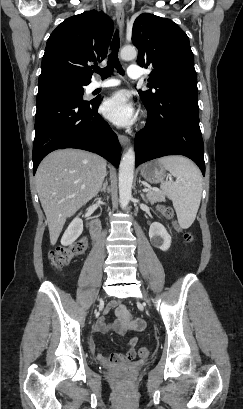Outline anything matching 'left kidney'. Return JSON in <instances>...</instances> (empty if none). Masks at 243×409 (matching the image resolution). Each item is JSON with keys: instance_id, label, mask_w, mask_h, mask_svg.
I'll return each mask as SVG.
<instances>
[{"instance_id": "1", "label": "left kidney", "mask_w": 243, "mask_h": 409, "mask_svg": "<svg viewBox=\"0 0 243 409\" xmlns=\"http://www.w3.org/2000/svg\"><path fill=\"white\" fill-rule=\"evenodd\" d=\"M149 237L152 245L162 251H167L171 245V236L168 234L166 228L158 222L151 224Z\"/></svg>"}]
</instances>
